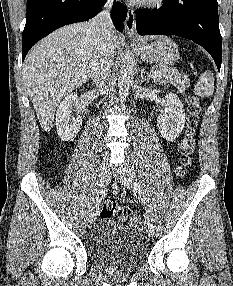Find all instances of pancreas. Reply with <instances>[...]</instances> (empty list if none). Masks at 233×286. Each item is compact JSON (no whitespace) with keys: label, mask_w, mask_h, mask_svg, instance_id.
Segmentation results:
<instances>
[{"label":"pancreas","mask_w":233,"mask_h":286,"mask_svg":"<svg viewBox=\"0 0 233 286\" xmlns=\"http://www.w3.org/2000/svg\"><path fill=\"white\" fill-rule=\"evenodd\" d=\"M152 72H161L160 77L154 78L155 83H171L180 92H184L190 85L189 79L179 73L176 69L170 67L154 66L152 67Z\"/></svg>","instance_id":"pancreas-1"}]
</instances>
